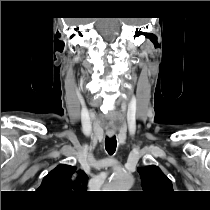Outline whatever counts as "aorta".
Returning <instances> with one entry per match:
<instances>
[{
  "label": "aorta",
  "instance_id": "762f6f07",
  "mask_svg": "<svg viewBox=\"0 0 210 210\" xmlns=\"http://www.w3.org/2000/svg\"><path fill=\"white\" fill-rule=\"evenodd\" d=\"M133 176L124 170H117L110 178V183L106 187L107 189H113L114 191H128L133 185Z\"/></svg>",
  "mask_w": 210,
  "mask_h": 210
}]
</instances>
